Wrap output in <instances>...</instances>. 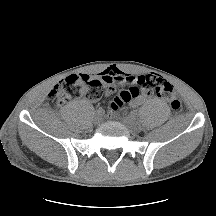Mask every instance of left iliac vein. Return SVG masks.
I'll list each match as a JSON object with an SVG mask.
<instances>
[{
    "label": "left iliac vein",
    "mask_w": 216,
    "mask_h": 216,
    "mask_svg": "<svg viewBox=\"0 0 216 216\" xmlns=\"http://www.w3.org/2000/svg\"><path fill=\"white\" fill-rule=\"evenodd\" d=\"M123 123L125 124V126L130 129L131 131L132 130H135L136 127H137V120L135 118V116L133 115H128V116H125L123 118Z\"/></svg>",
    "instance_id": "4c4485c4"
}]
</instances>
